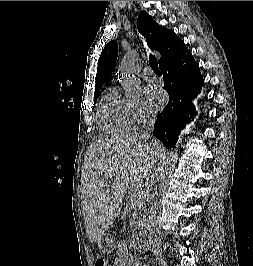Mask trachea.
Returning <instances> with one entry per match:
<instances>
[{"label": "trachea", "instance_id": "obj_1", "mask_svg": "<svg viewBox=\"0 0 253 266\" xmlns=\"http://www.w3.org/2000/svg\"><path fill=\"white\" fill-rule=\"evenodd\" d=\"M149 64H150V67L153 69V71L156 74H161L160 69L158 67V62H157V59L155 56H153V55L149 56Z\"/></svg>", "mask_w": 253, "mask_h": 266}]
</instances>
